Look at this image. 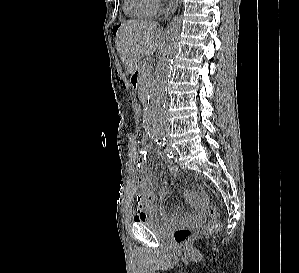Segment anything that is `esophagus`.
Listing matches in <instances>:
<instances>
[{
  "label": "esophagus",
  "mask_w": 299,
  "mask_h": 273,
  "mask_svg": "<svg viewBox=\"0 0 299 273\" xmlns=\"http://www.w3.org/2000/svg\"><path fill=\"white\" fill-rule=\"evenodd\" d=\"M177 5H178V0H170L169 5L164 12L165 19L169 16L170 13H173L176 10Z\"/></svg>",
  "instance_id": "1"
}]
</instances>
